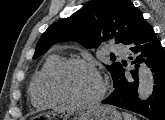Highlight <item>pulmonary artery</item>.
<instances>
[{
	"label": "pulmonary artery",
	"instance_id": "e3ab8cb5",
	"mask_svg": "<svg viewBox=\"0 0 165 120\" xmlns=\"http://www.w3.org/2000/svg\"><path fill=\"white\" fill-rule=\"evenodd\" d=\"M111 50H112V52H114L115 54H118V55L127 54V50L121 45H112Z\"/></svg>",
	"mask_w": 165,
	"mask_h": 120
}]
</instances>
